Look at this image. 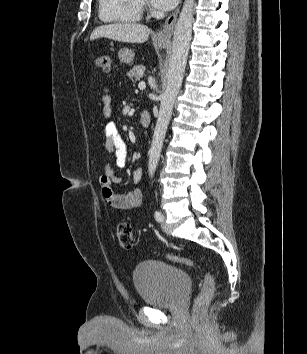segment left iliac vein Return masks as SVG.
<instances>
[{
	"label": "left iliac vein",
	"mask_w": 307,
	"mask_h": 354,
	"mask_svg": "<svg viewBox=\"0 0 307 354\" xmlns=\"http://www.w3.org/2000/svg\"><path fill=\"white\" fill-rule=\"evenodd\" d=\"M161 228L166 234H170V229H169L168 225L166 224L164 217H163V220L161 223Z\"/></svg>",
	"instance_id": "4c4485c4"
}]
</instances>
